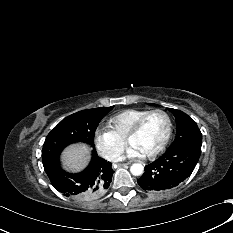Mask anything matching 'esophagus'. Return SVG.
Segmentation results:
<instances>
[{
    "label": "esophagus",
    "instance_id": "obj_1",
    "mask_svg": "<svg viewBox=\"0 0 233 233\" xmlns=\"http://www.w3.org/2000/svg\"><path fill=\"white\" fill-rule=\"evenodd\" d=\"M125 165H127V164L126 163H118L119 167H122V166H125Z\"/></svg>",
    "mask_w": 233,
    "mask_h": 233
}]
</instances>
